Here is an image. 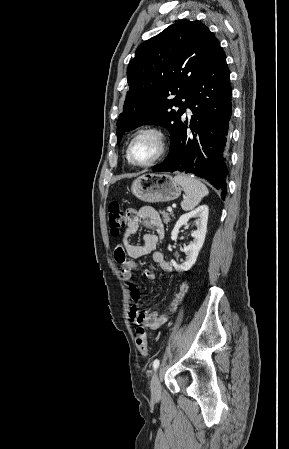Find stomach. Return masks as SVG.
Masks as SVG:
<instances>
[{"mask_svg":"<svg viewBox=\"0 0 289 449\" xmlns=\"http://www.w3.org/2000/svg\"><path fill=\"white\" fill-rule=\"evenodd\" d=\"M131 192L144 202H169L180 196L181 187L168 174H144L132 182Z\"/></svg>","mask_w":289,"mask_h":449,"instance_id":"stomach-1","label":"stomach"}]
</instances>
